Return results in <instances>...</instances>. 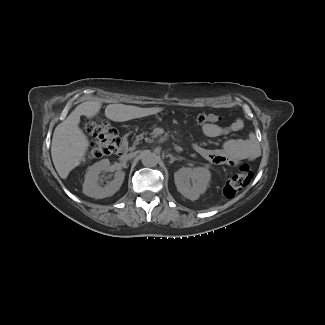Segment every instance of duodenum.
<instances>
[{"instance_id": "1", "label": "duodenum", "mask_w": 325, "mask_h": 325, "mask_svg": "<svg viewBox=\"0 0 325 325\" xmlns=\"http://www.w3.org/2000/svg\"><path fill=\"white\" fill-rule=\"evenodd\" d=\"M127 149H128L127 141L125 139H122L118 144L116 152L118 156L125 157Z\"/></svg>"}]
</instances>
